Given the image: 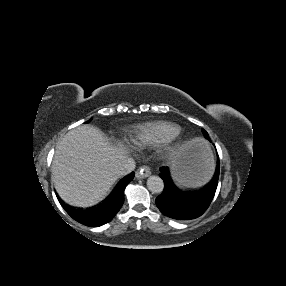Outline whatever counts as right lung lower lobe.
<instances>
[{"instance_id":"98d812e1","label":"right lung lower lobe","mask_w":286,"mask_h":286,"mask_svg":"<svg viewBox=\"0 0 286 286\" xmlns=\"http://www.w3.org/2000/svg\"><path fill=\"white\" fill-rule=\"evenodd\" d=\"M134 175L132 172L124 177L104 201L90 209H75L65 205L59 197L58 200L74 220L86 226L98 227L109 222L120 210L124 203V189L133 180Z\"/></svg>"}]
</instances>
